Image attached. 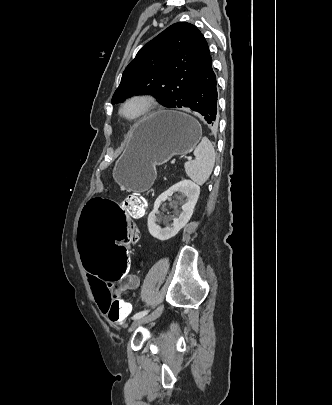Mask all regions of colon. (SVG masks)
I'll return each mask as SVG.
<instances>
[{
	"mask_svg": "<svg viewBox=\"0 0 332 405\" xmlns=\"http://www.w3.org/2000/svg\"><path fill=\"white\" fill-rule=\"evenodd\" d=\"M128 211H120L119 202L113 197H89L82 211V220H77L78 249L81 268L87 275H101L109 292L106 316L113 324L123 323V318L132 316L133 309L111 290V281H122L129 274L131 249L136 248L139 227L131 219V212L145 211L144 199L134 193L122 201Z\"/></svg>",
	"mask_w": 332,
	"mask_h": 405,
	"instance_id": "5ec220e1",
	"label": "colon"
}]
</instances>
